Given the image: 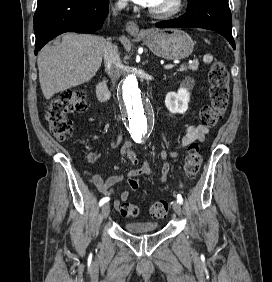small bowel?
<instances>
[{
    "label": "small bowel",
    "instance_id": "small-bowel-1",
    "mask_svg": "<svg viewBox=\"0 0 272 282\" xmlns=\"http://www.w3.org/2000/svg\"><path fill=\"white\" fill-rule=\"evenodd\" d=\"M209 127L204 125H191L186 128L183 136L181 137L180 143L175 146L170 151H162L159 155V161L163 162L162 173L160 180L165 182L167 180L168 174L170 172V165L165 160L167 156H171L173 159L177 158V151L180 148L186 147L192 144L195 141H202L204 136L208 133ZM122 140V136L119 134L116 137L112 138L109 141V144L112 148H117L120 145ZM121 164L125 165L127 162H130L133 165H139L140 161L136 156L135 152L133 151V146L131 142H127L121 149ZM130 177H138L143 174L153 175L154 170L152 163L144 160L141 162V165L137 169H133L129 172ZM92 183L96 186L99 192L106 196H110L114 192V188L117 184L121 183L122 176L121 175H114L107 179H103L102 176L95 172L91 176ZM133 190H137L139 188V184L137 185H130ZM129 198V192L124 191L120 199L114 201V206L119 208V206L123 202H127Z\"/></svg>",
    "mask_w": 272,
    "mask_h": 282
}]
</instances>
